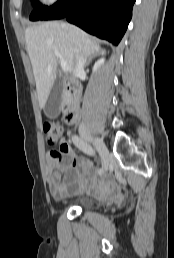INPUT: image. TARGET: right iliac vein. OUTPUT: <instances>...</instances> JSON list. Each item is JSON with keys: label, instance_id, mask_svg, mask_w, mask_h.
Instances as JSON below:
<instances>
[{"label": "right iliac vein", "instance_id": "obj_1", "mask_svg": "<svg viewBox=\"0 0 174 258\" xmlns=\"http://www.w3.org/2000/svg\"><path fill=\"white\" fill-rule=\"evenodd\" d=\"M86 137L88 139H90L93 142V144L95 145V147L98 150L99 155L101 157L103 169L107 170V168L109 166L110 158H109V151H108L106 145L100 138H98L96 136L88 134V135H86Z\"/></svg>", "mask_w": 174, "mask_h": 258}]
</instances>
